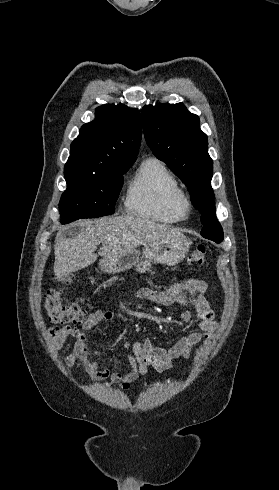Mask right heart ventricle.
Masks as SVG:
<instances>
[{
  "mask_svg": "<svg viewBox=\"0 0 279 490\" xmlns=\"http://www.w3.org/2000/svg\"><path fill=\"white\" fill-rule=\"evenodd\" d=\"M183 186L159 158L149 157L138 166L128 188L127 207L137 217L161 224L183 220L176 208Z\"/></svg>",
  "mask_w": 279,
  "mask_h": 490,
  "instance_id": "obj_1",
  "label": "right heart ventricle"
}]
</instances>
